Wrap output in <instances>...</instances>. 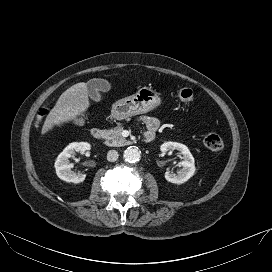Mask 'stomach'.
<instances>
[{
  "label": "stomach",
  "mask_w": 272,
  "mask_h": 272,
  "mask_svg": "<svg viewBox=\"0 0 272 272\" xmlns=\"http://www.w3.org/2000/svg\"><path fill=\"white\" fill-rule=\"evenodd\" d=\"M161 104L162 99L155 90L142 87L135 94L115 102L112 115L117 120H123L156 109Z\"/></svg>",
  "instance_id": "obj_1"
}]
</instances>
